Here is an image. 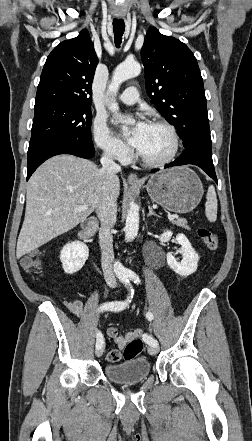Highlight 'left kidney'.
<instances>
[{"label":"left kidney","instance_id":"1","mask_svg":"<svg viewBox=\"0 0 252 441\" xmlns=\"http://www.w3.org/2000/svg\"><path fill=\"white\" fill-rule=\"evenodd\" d=\"M172 237L171 231H166L160 235L159 240L162 243L168 242ZM177 242L181 245L183 259L179 262L171 252L166 255L168 266L181 276H189L193 274L198 267L199 256L192 248L189 240L184 234L176 236Z\"/></svg>","mask_w":252,"mask_h":441}]
</instances>
